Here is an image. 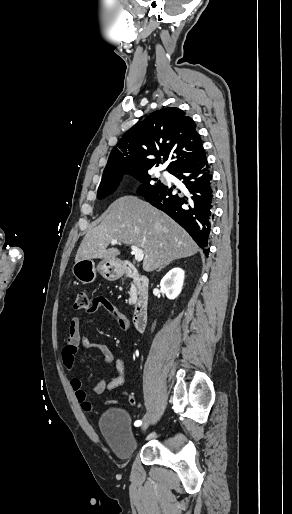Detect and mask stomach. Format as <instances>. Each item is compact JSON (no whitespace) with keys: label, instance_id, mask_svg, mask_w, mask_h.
I'll return each mask as SVG.
<instances>
[{"label":"stomach","instance_id":"0dacf381","mask_svg":"<svg viewBox=\"0 0 292 514\" xmlns=\"http://www.w3.org/2000/svg\"><path fill=\"white\" fill-rule=\"evenodd\" d=\"M97 272H99L105 280L115 282V280L122 278L125 268L118 258H104L102 262H99L98 266H95L93 260H78L72 268L73 276H75L76 280L82 282V284H92L96 278Z\"/></svg>","mask_w":292,"mask_h":514}]
</instances>
